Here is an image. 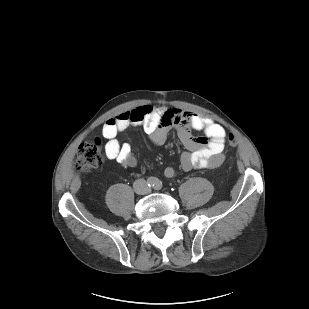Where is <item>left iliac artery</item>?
I'll return each instance as SVG.
<instances>
[{"label": "left iliac artery", "instance_id": "1", "mask_svg": "<svg viewBox=\"0 0 309 309\" xmlns=\"http://www.w3.org/2000/svg\"><path fill=\"white\" fill-rule=\"evenodd\" d=\"M154 188L157 190H160L162 188V182L159 180H156Z\"/></svg>", "mask_w": 309, "mask_h": 309}]
</instances>
